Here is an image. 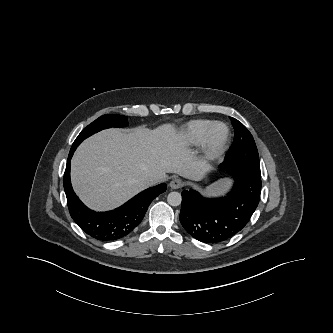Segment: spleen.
<instances>
[{
    "label": "spleen",
    "mask_w": 333,
    "mask_h": 333,
    "mask_svg": "<svg viewBox=\"0 0 333 333\" xmlns=\"http://www.w3.org/2000/svg\"><path fill=\"white\" fill-rule=\"evenodd\" d=\"M225 187V184H220L219 186L208 188L206 191V194H212L215 195L217 193H220L223 191V188Z\"/></svg>",
    "instance_id": "spleen-1"
}]
</instances>
